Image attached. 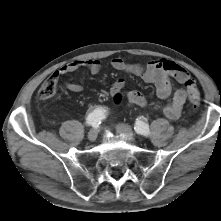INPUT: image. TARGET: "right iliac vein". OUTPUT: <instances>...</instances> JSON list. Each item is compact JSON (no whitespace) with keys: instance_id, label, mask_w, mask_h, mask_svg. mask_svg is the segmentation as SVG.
Returning <instances> with one entry per match:
<instances>
[{"instance_id":"63e3f726","label":"right iliac vein","mask_w":221,"mask_h":221,"mask_svg":"<svg viewBox=\"0 0 221 221\" xmlns=\"http://www.w3.org/2000/svg\"><path fill=\"white\" fill-rule=\"evenodd\" d=\"M97 136H98V131L96 129H91L88 132V139L91 142H94L96 140Z\"/></svg>"}]
</instances>
